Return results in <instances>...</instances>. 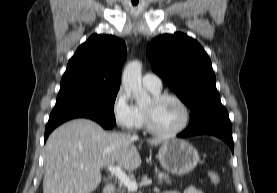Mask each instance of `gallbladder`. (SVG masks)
I'll return each instance as SVG.
<instances>
[{"mask_svg":"<svg viewBox=\"0 0 277 193\" xmlns=\"http://www.w3.org/2000/svg\"><path fill=\"white\" fill-rule=\"evenodd\" d=\"M104 181H107V179H106V178H104Z\"/></svg>","mask_w":277,"mask_h":193,"instance_id":"obj_1","label":"gallbladder"}]
</instances>
